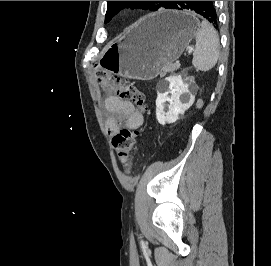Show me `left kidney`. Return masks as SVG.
<instances>
[{"label": "left kidney", "instance_id": "5707ae66", "mask_svg": "<svg viewBox=\"0 0 271 266\" xmlns=\"http://www.w3.org/2000/svg\"><path fill=\"white\" fill-rule=\"evenodd\" d=\"M168 81L169 91L158 93L156 99V118L161 125L177 121L179 116L183 115L193 103V97L189 92V84L184 82L181 75L170 76ZM168 93H171V96H168ZM186 97H189L188 102L185 101ZM167 101L169 106L168 110L165 111V103Z\"/></svg>", "mask_w": 271, "mask_h": 266}]
</instances>
